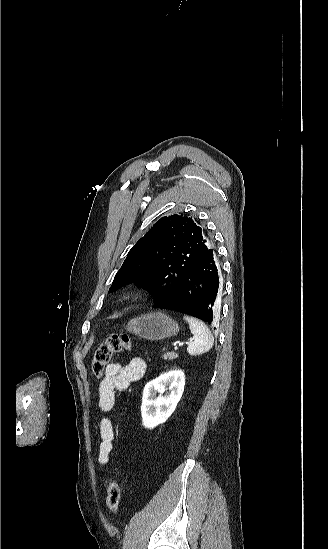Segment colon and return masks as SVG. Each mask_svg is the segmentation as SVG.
Listing matches in <instances>:
<instances>
[{
	"instance_id": "colon-1",
	"label": "colon",
	"mask_w": 328,
	"mask_h": 549,
	"mask_svg": "<svg viewBox=\"0 0 328 549\" xmlns=\"http://www.w3.org/2000/svg\"><path fill=\"white\" fill-rule=\"evenodd\" d=\"M131 339L126 334H113L103 340L95 350L92 360V371L96 377H100L115 353L129 350ZM121 498L120 485L117 480H111L107 488L106 505L111 513H116Z\"/></svg>"
}]
</instances>
